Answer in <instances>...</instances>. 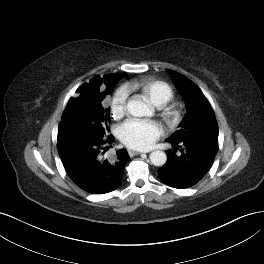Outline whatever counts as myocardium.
Returning a JSON list of instances; mask_svg holds the SVG:
<instances>
[{"label":"myocardium","mask_w":264,"mask_h":264,"mask_svg":"<svg viewBox=\"0 0 264 264\" xmlns=\"http://www.w3.org/2000/svg\"><path fill=\"white\" fill-rule=\"evenodd\" d=\"M165 118L170 126H175L181 118V112L175 108L170 109L165 113Z\"/></svg>","instance_id":"1"}]
</instances>
